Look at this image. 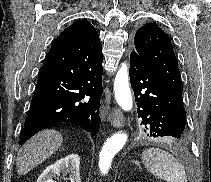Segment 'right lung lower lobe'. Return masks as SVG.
<instances>
[{"mask_svg": "<svg viewBox=\"0 0 211 182\" xmlns=\"http://www.w3.org/2000/svg\"><path fill=\"white\" fill-rule=\"evenodd\" d=\"M102 47L96 32L78 42H53L37 81L19 145L56 123L80 126L94 136L100 127Z\"/></svg>", "mask_w": 211, "mask_h": 182, "instance_id": "right-lung-lower-lobe-1", "label": "right lung lower lobe"}]
</instances>
